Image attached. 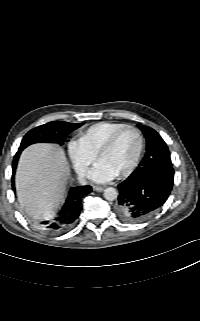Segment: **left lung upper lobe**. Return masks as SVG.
Listing matches in <instances>:
<instances>
[{"instance_id": "left-lung-upper-lobe-1", "label": "left lung upper lobe", "mask_w": 200, "mask_h": 321, "mask_svg": "<svg viewBox=\"0 0 200 321\" xmlns=\"http://www.w3.org/2000/svg\"><path fill=\"white\" fill-rule=\"evenodd\" d=\"M143 132L147 146L146 154L139 167L147 165H172L170 152L162 137L152 128L138 125Z\"/></svg>"}]
</instances>
